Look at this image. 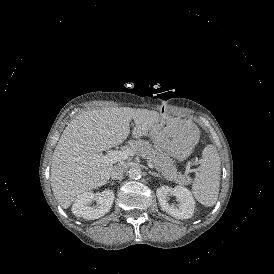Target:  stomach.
Listing matches in <instances>:
<instances>
[{
	"label": "stomach",
	"mask_w": 274,
	"mask_h": 274,
	"mask_svg": "<svg viewBox=\"0 0 274 274\" xmlns=\"http://www.w3.org/2000/svg\"><path fill=\"white\" fill-rule=\"evenodd\" d=\"M159 124L160 128L152 132L156 146L177 162L187 159L199 142V129L194 130L193 123L174 121L166 115H161Z\"/></svg>",
	"instance_id": "1"
}]
</instances>
